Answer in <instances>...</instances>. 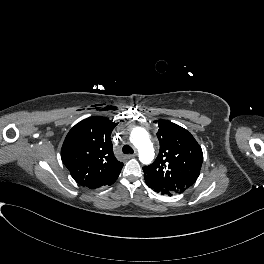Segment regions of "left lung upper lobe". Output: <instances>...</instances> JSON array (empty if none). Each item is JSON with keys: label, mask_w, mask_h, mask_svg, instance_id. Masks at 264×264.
I'll list each match as a JSON object with an SVG mask.
<instances>
[{"label": "left lung upper lobe", "mask_w": 264, "mask_h": 264, "mask_svg": "<svg viewBox=\"0 0 264 264\" xmlns=\"http://www.w3.org/2000/svg\"><path fill=\"white\" fill-rule=\"evenodd\" d=\"M160 150L156 160L143 167L145 181L172 193H183L197 180L203 161L202 149L181 126L158 120Z\"/></svg>", "instance_id": "obj_1"}]
</instances>
